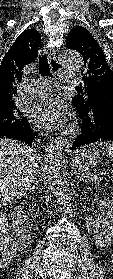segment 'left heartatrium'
<instances>
[{"label": "left heart atrium", "instance_id": "39dd6f15", "mask_svg": "<svg viewBox=\"0 0 113 279\" xmlns=\"http://www.w3.org/2000/svg\"><path fill=\"white\" fill-rule=\"evenodd\" d=\"M34 118L43 128H59L65 123L67 118L66 105L59 98L45 96L36 105Z\"/></svg>", "mask_w": 113, "mask_h": 279}]
</instances>
